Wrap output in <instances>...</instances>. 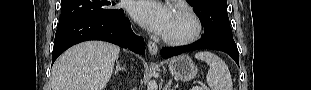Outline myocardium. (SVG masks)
<instances>
[{"label":"myocardium","mask_w":311,"mask_h":90,"mask_svg":"<svg viewBox=\"0 0 311 90\" xmlns=\"http://www.w3.org/2000/svg\"><path fill=\"white\" fill-rule=\"evenodd\" d=\"M175 10L184 16L190 23L191 29L186 35L168 36L162 35V40L170 45H187L198 39L200 36L202 25L198 16L186 6H177Z\"/></svg>","instance_id":"obj_1"}]
</instances>
